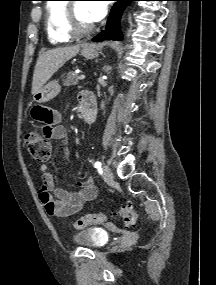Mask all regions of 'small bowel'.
I'll use <instances>...</instances> for the list:
<instances>
[{
    "mask_svg": "<svg viewBox=\"0 0 216 285\" xmlns=\"http://www.w3.org/2000/svg\"><path fill=\"white\" fill-rule=\"evenodd\" d=\"M82 105L85 102H93L94 98L89 92L80 95ZM33 118L38 121L35 133L44 136V141H62L67 139V130L60 124L58 112L43 106H35L32 111ZM68 158V152L64 150ZM42 187L39 191V199L48 215L53 217H66L77 213L82 206L97 196V187L92 178H86L78 183L79 189L74 192L57 188L54 183L53 174L49 171L47 164L41 166Z\"/></svg>",
    "mask_w": 216,
    "mask_h": 285,
    "instance_id": "small-bowel-1",
    "label": "small bowel"
}]
</instances>
